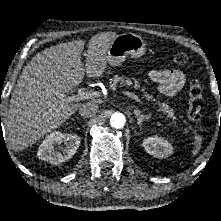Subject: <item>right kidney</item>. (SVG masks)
Listing matches in <instances>:
<instances>
[{"mask_svg": "<svg viewBox=\"0 0 221 221\" xmlns=\"http://www.w3.org/2000/svg\"><path fill=\"white\" fill-rule=\"evenodd\" d=\"M81 138L73 134H63L60 131H54L47 135L41 143L37 156L40 160L57 165L68 161L80 146ZM57 147V145H61Z\"/></svg>", "mask_w": 221, "mask_h": 221, "instance_id": "right-kidney-1", "label": "right kidney"}]
</instances>
